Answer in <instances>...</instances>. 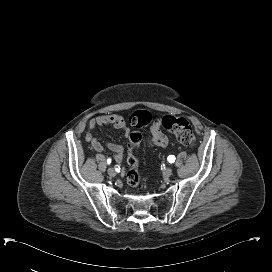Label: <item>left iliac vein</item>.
Segmentation results:
<instances>
[{"label": "left iliac vein", "mask_w": 272, "mask_h": 272, "mask_svg": "<svg viewBox=\"0 0 272 272\" xmlns=\"http://www.w3.org/2000/svg\"><path fill=\"white\" fill-rule=\"evenodd\" d=\"M172 175V169L170 167L166 168L164 171H163V176L165 178H168Z\"/></svg>", "instance_id": "4c4485c4"}]
</instances>
